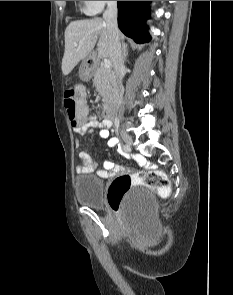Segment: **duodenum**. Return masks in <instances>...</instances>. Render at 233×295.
Returning <instances> with one entry per match:
<instances>
[{"mask_svg": "<svg viewBox=\"0 0 233 295\" xmlns=\"http://www.w3.org/2000/svg\"><path fill=\"white\" fill-rule=\"evenodd\" d=\"M115 98H108L104 105H103V114L110 118L113 115V111H114V106H115Z\"/></svg>", "mask_w": 233, "mask_h": 295, "instance_id": "obj_1", "label": "duodenum"}]
</instances>
